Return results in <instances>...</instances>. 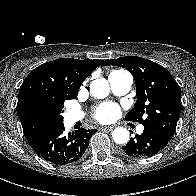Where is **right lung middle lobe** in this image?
Returning a JSON list of instances; mask_svg holds the SVG:
<instances>
[{
    "instance_id": "obj_1",
    "label": "right lung middle lobe",
    "mask_w": 196,
    "mask_h": 196,
    "mask_svg": "<svg viewBox=\"0 0 196 196\" xmlns=\"http://www.w3.org/2000/svg\"><path fill=\"white\" fill-rule=\"evenodd\" d=\"M76 97L77 96H64L54 100H47L43 102V108L50 113L52 119L57 125H61L63 124V116L61 113L64 111V101L75 99Z\"/></svg>"
}]
</instances>
